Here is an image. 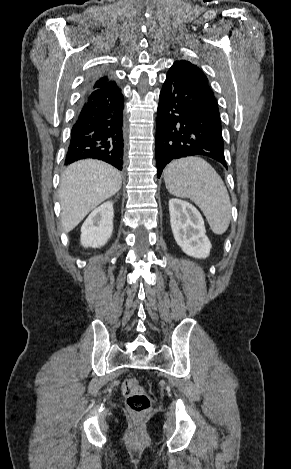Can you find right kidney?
<instances>
[{
    "instance_id": "obj_1",
    "label": "right kidney",
    "mask_w": 291,
    "mask_h": 469,
    "mask_svg": "<svg viewBox=\"0 0 291 469\" xmlns=\"http://www.w3.org/2000/svg\"><path fill=\"white\" fill-rule=\"evenodd\" d=\"M113 203L108 201L96 208L81 227L83 247L99 248L107 243L113 232Z\"/></svg>"
}]
</instances>
